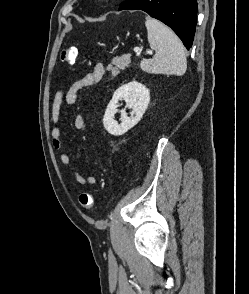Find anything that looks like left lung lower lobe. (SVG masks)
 <instances>
[{
    "label": "left lung lower lobe",
    "instance_id": "obj_1",
    "mask_svg": "<svg viewBox=\"0 0 249 294\" xmlns=\"http://www.w3.org/2000/svg\"><path fill=\"white\" fill-rule=\"evenodd\" d=\"M126 9L143 10L162 21L179 36L187 49L191 48L196 27V0H127L118 10Z\"/></svg>",
    "mask_w": 249,
    "mask_h": 294
}]
</instances>
